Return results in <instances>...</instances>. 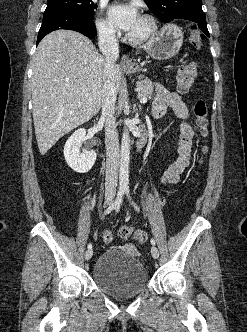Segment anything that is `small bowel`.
<instances>
[{"mask_svg": "<svg viewBox=\"0 0 247 332\" xmlns=\"http://www.w3.org/2000/svg\"><path fill=\"white\" fill-rule=\"evenodd\" d=\"M168 108H171L181 120L178 157L166 169L162 176L163 182L173 184L179 180L180 175L189 167L194 132L191 126L186 122L189 117V112L181 98L176 93L166 88L158 87L152 103L153 117L160 118L164 116Z\"/></svg>", "mask_w": 247, "mask_h": 332, "instance_id": "c3829d8e", "label": "small bowel"}]
</instances>
